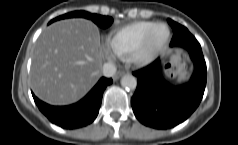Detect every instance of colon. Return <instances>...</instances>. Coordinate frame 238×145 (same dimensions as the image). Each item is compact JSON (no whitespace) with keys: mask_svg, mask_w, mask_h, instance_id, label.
I'll return each mask as SVG.
<instances>
[{"mask_svg":"<svg viewBox=\"0 0 238 145\" xmlns=\"http://www.w3.org/2000/svg\"><path fill=\"white\" fill-rule=\"evenodd\" d=\"M167 70L171 75H179L183 71V64L179 55H176L168 64Z\"/></svg>","mask_w":238,"mask_h":145,"instance_id":"obj_1","label":"colon"}]
</instances>
